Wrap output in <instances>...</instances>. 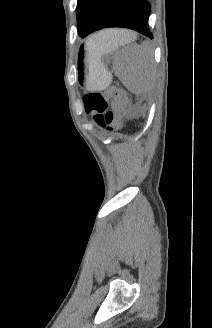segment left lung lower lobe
<instances>
[{"instance_id": "left-lung-lower-lobe-1", "label": "left lung lower lobe", "mask_w": 212, "mask_h": 328, "mask_svg": "<svg viewBox=\"0 0 212 328\" xmlns=\"http://www.w3.org/2000/svg\"><path fill=\"white\" fill-rule=\"evenodd\" d=\"M150 4L146 0H105L87 35L108 27L133 29L153 38L148 27Z\"/></svg>"}]
</instances>
